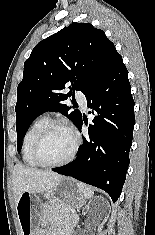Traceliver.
Segmentation results:
<instances>
[{
	"mask_svg": "<svg viewBox=\"0 0 155 235\" xmlns=\"http://www.w3.org/2000/svg\"><path fill=\"white\" fill-rule=\"evenodd\" d=\"M62 178L61 175L50 170H39L17 163L13 169V190L16 204L22 193H47Z\"/></svg>",
	"mask_w": 155,
	"mask_h": 235,
	"instance_id": "obj_1",
	"label": "liver"
}]
</instances>
